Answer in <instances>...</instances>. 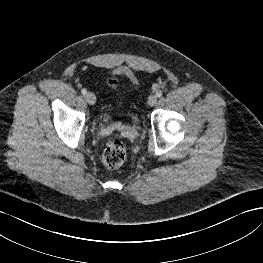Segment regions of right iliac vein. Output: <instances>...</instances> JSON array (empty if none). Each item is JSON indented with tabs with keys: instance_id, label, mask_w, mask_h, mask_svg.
Here are the masks:
<instances>
[{
	"instance_id": "obj_1",
	"label": "right iliac vein",
	"mask_w": 263,
	"mask_h": 263,
	"mask_svg": "<svg viewBox=\"0 0 263 263\" xmlns=\"http://www.w3.org/2000/svg\"><path fill=\"white\" fill-rule=\"evenodd\" d=\"M85 99L90 105H94L96 102V96L92 92H88L85 94Z\"/></svg>"
}]
</instances>
